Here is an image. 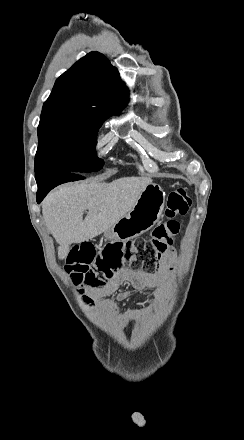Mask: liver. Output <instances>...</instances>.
Here are the masks:
<instances>
[{"label": "liver", "mask_w": 244, "mask_h": 440, "mask_svg": "<svg viewBox=\"0 0 244 440\" xmlns=\"http://www.w3.org/2000/svg\"><path fill=\"white\" fill-rule=\"evenodd\" d=\"M151 178H119L110 184H64L42 202L44 222L55 238L59 260L67 258L71 244L92 240L126 216ZM88 210L85 220L82 216Z\"/></svg>", "instance_id": "liver-1"}]
</instances>
